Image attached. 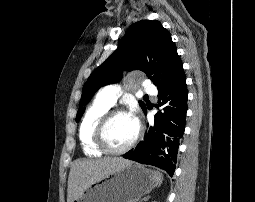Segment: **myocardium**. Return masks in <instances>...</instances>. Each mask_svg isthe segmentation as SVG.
<instances>
[{
    "mask_svg": "<svg viewBox=\"0 0 255 202\" xmlns=\"http://www.w3.org/2000/svg\"><path fill=\"white\" fill-rule=\"evenodd\" d=\"M121 114H127V113L122 109H109L100 118L95 128L94 142L97 145V147L101 149L103 152H106L109 154H123L129 151L131 148H133L142 135V129L140 126H138L136 135L128 144H126L124 147H121V148L111 147L107 140V129L112 119L115 116L121 115Z\"/></svg>",
    "mask_w": 255,
    "mask_h": 202,
    "instance_id": "f54148a6",
    "label": "myocardium"
}]
</instances>
